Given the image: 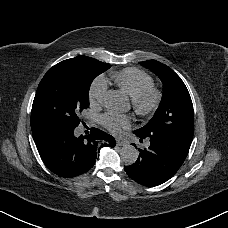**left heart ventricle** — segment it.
Wrapping results in <instances>:
<instances>
[{
  "label": "left heart ventricle",
  "mask_w": 228,
  "mask_h": 228,
  "mask_svg": "<svg viewBox=\"0 0 228 228\" xmlns=\"http://www.w3.org/2000/svg\"><path fill=\"white\" fill-rule=\"evenodd\" d=\"M129 109H130V102H129L128 109H126V110H117V111L120 112V113H122V114H125V113H127L129 111Z\"/></svg>",
  "instance_id": "obj_1"
}]
</instances>
